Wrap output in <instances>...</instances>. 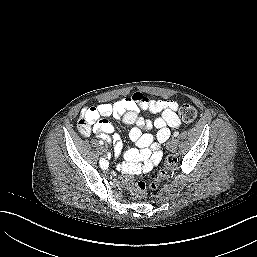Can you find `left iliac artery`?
Segmentation results:
<instances>
[{
  "label": "left iliac artery",
  "mask_w": 257,
  "mask_h": 257,
  "mask_svg": "<svg viewBox=\"0 0 257 257\" xmlns=\"http://www.w3.org/2000/svg\"><path fill=\"white\" fill-rule=\"evenodd\" d=\"M178 135H179L178 131L174 132V134H173L174 137H177Z\"/></svg>",
  "instance_id": "44dca946"
}]
</instances>
